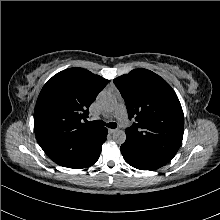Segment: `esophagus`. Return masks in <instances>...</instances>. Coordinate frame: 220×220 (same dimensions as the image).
<instances>
[{"mask_svg":"<svg viewBox=\"0 0 220 220\" xmlns=\"http://www.w3.org/2000/svg\"><path fill=\"white\" fill-rule=\"evenodd\" d=\"M115 131H116V129H108V132H109L110 134L114 133Z\"/></svg>","mask_w":220,"mask_h":220,"instance_id":"34e87169","label":"esophagus"}]
</instances>
